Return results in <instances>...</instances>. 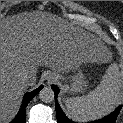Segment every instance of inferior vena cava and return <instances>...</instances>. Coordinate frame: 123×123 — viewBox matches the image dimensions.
Masks as SVG:
<instances>
[{
    "label": "inferior vena cava",
    "instance_id": "1",
    "mask_svg": "<svg viewBox=\"0 0 123 123\" xmlns=\"http://www.w3.org/2000/svg\"><path fill=\"white\" fill-rule=\"evenodd\" d=\"M21 78H22L23 80H25V81H29L30 75H29L28 72H24V73L21 74Z\"/></svg>",
    "mask_w": 123,
    "mask_h": 123
}]
</instances>
